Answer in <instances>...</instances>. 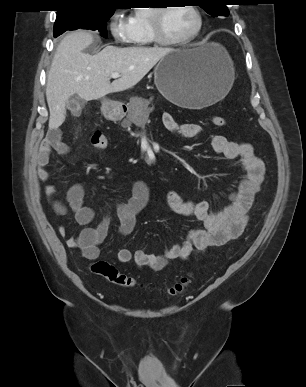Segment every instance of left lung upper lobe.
Listing matches in <instances>:
<instances>
[{"instance_id": "left-lung-upper-lobe-1", "label": "left lung upper lobe", "mask_w": 306, "mask_h": 387, "mask_svg": "<svg viewBox=\"0 0 306 387\" xmlns=\"http://www.w3.org/2000/svg\"><path fill=\"white\" fill-rule=\"evenodd\" d=\"M227 0H195L209 15L213 17L228 16L229 11L226 7Z\"/></svg>"}]
</instances>
